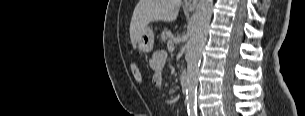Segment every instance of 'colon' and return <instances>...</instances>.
<instances>
[{
  "mask_svg": "<svg viewBox=\"0 0 305 116\" xmlns=\"http://www.w3.org/2000/svg\"><path fill=\"white\" fill-rule=\"evenodd\" d=\"M130 70H131V74H132L133 78L137 82L142 83L143 82V76H142V73H141L140 69L138 68V66H136L135 64H132L130 66Z\"/></svg>",
  "mask_w": 305,
  "mask_h": 116,
  "instance_id": "obj_1",
  "label": "colon"
}]
</instances>
